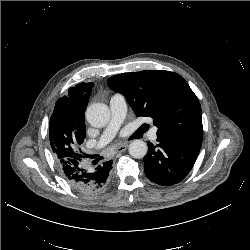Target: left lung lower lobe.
Returning <instances> with one entry per match:
<instances>
[{
	"mask_svg": "<svg viewBox=\"0 0 250 250\" xmlns=\"http://www.w3.org/2000/svg\"><path fill=\"white\" fill-rule=\"evenodd\" d=\"M157 145L148 142L144 171L156 184L170 186L182 181L192 169L202 143L157 138Z\"/></svg>",
	"mask_w": 250,
	"mask_h": 250,
	"instance_id": "obj_1",
	"label": "left lung lower lobe"
}]
</instances>
